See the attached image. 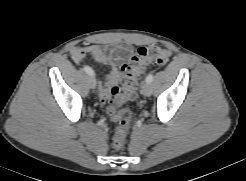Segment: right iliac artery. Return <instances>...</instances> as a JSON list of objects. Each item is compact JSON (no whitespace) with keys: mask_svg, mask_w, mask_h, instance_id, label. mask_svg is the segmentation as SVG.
<instances>
[{"mask_svg":"<svg viewBox=\"0 0 246 181\" xmlns=\"http://www.w3.org/2000/svg\"><path fill=\"white\" fill-rule=\"evenodd\" d=\"M83 69H84V71H85L88 75H90V76H94V75H95L93 69L90 68L89 66H84Z\"/></svg>","mask_w":246,"mask_h":181,"instance_id":"obj_1","label":"right iliac artery"}]
</instances>
